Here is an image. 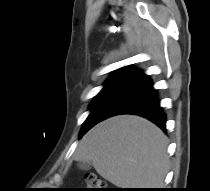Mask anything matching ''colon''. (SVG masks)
<instances>
[{
	"label": "colon",
	"instance_id": "obj_1",
	"mask_svg": "<svg viewBox=\"0 0 210 191\" xmlns=\"http://www.w3.org/2000/svg\"><path fill=\"white\" fill-rule=\"evenodd\" d=\"M86 188L82 191H112L108 187L107 183L99 176L95 174H87L85 176Z\"/></svg>",
	"mask_w": 210,
	"mask_h": 191
}]
</instances>
